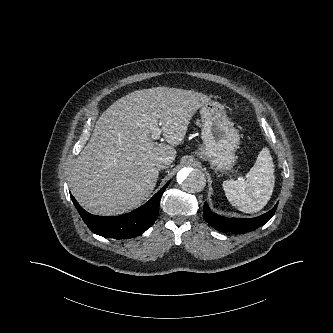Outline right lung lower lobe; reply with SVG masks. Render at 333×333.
Here are the masks:
<instances>
[{"label": "right lung lower lobe", "instance_id": "1", "mask_svg": "<svg viewBox=\"0 0 333 333\" xmlns=\"http://www.w3.org/2000/svg\"><path fill=\"white\" fill-rule=\"evenodd\" d=\"M168 184L169 182L143 206L118 217L92 215L80 207L71 194L70 196L83 221L93 233L114 239L132 238L141 235L155 222L161 196Z\"/></svg>", "mask_w": 333, "mask_h": 333}]
</instances>
